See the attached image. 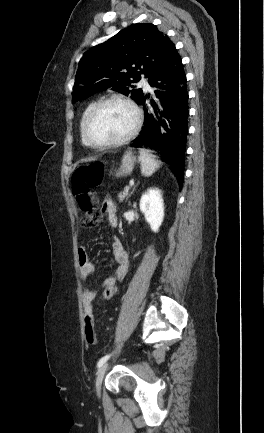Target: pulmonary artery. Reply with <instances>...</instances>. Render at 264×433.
Returning a JSON list of instances; mask_svg holds the SVG:
<instances>
[{
    "label": "pulmonary artery",
    "mask_w": 264,
    "mask_h": 433,
    "mask_svg": "<svg viewBox=\"0 0 264 433\" xmlns=\"http://www.w3.org/2000/svg\"><path fill=\"white\" fill-rule=\"evenodd\" d=\"M140 84L144 87L145 90H149L150 89V85L147 81L143 80L140 82Z\"/></svg>",
    "instance_id": "e3ab8cb5"
}]
</instances>
